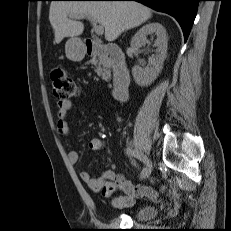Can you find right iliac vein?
Masks as SVG:
<instances>
[{
	"mask_svg": "<svg viewBox=\"0 0 231 231\" xmlns=\"http://www.w3.org/2000/svg\"><path fill=\"white\" fill-rule=\"evenodd\" d=\"M147 166L150 168V169H152V162L148 159V161H147Z\"/></svg>",
	"mask_w": 231,
	"mask_h": 231,
	"instance_id": "63e3f726",
	"label": "right iliac vein"
}]
</instances>
